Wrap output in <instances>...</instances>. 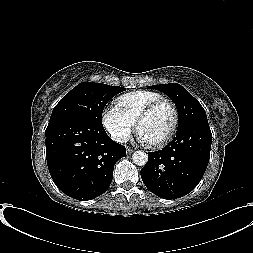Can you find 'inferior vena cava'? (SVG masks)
<instances>
[{"label":"inferior vena cava","instance_id":"obj_1","mask_svg":"<svg viewBox=\"0 0 253 253\" xmlns=\"http://www.w3.org/2000/svg\"><path fill=\"white\" fill-rule=\"evenodd\" d=\"M117 141H119V142H127L128 138H127V136H120V137L117 138Z\"/></svg>","mask_w":253,"mask_h":253}]
</instances>
